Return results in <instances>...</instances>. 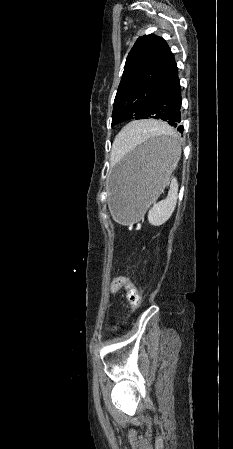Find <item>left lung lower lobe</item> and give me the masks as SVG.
<instances>
[{
  "label": "left lung lower lobe",
  "mask_w": 233,
  "mask_h": 449,
  "mask_svg": "<svg viewBox=\"0 0 233 449\" xmlns=\"http://www.w3.org/2000/svg\"><path fill=\"white\" fill-rule=\"evenodd\" d=\"M181 102V86L177 69L155 95L143 119L154 118L167 121L171 126L176 127L180 133H183V126L180 125Z\"/></svg>",
  "instance_id": "1"
}]
</instances>
